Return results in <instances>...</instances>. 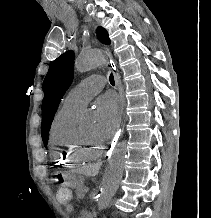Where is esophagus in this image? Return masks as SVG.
Returning <instances> with one entry per match:
<instances>
[{
    "instance_id": "34e87169",
    "label": "esophagus",
    "mask_w": 211,
    "mask_h": 218,
    "mask_svg": "<svg viewBox=\"0 0 211 218\" xmlns=\"http://www.w3.org/2000/svg\"><path fill=\"white\" fill-rule=\"evenodd\" d=\"M107 66L108 68L112 71L115 79V84L117 86L119 96H120V115L121 117H126V111L124 109L125 106V98H124V93H123V88L120 83L119 76L121 75L119 72L117 73L116 69L112 65V62L109 60L107 61ZM123 123H127V118H120V123L117 124V130L118 131H124L125 130V125ZM121 136L120 132H114L113 136L111 137L110 143L111 144H118L119 143V138ZM116 146L115 145H108L106 152L103 153V159L104 160H111L112 159V153L115 152Z\"/></svg>"
}]
</instances>
